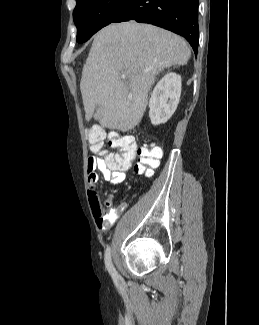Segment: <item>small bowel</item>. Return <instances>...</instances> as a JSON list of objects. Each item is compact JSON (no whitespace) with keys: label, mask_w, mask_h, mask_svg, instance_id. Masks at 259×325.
Returning a JSON list of instances; mask_svg holds the SVG:
<instances>
[{"label":"small bowel","mask_w":259,"mask_h":325,"mask_svg":"<svg viewBox=\"0 0 259 325\" xmlns=\"http://www.w3.org/2000/svg\"><path fill=\"white\" fill-rule=\"evenodd\" d=\"M155 147H158L154 145ZM159 148V147H158ZM119 156L114 153H101L99 157L88 159V194L92 205L93 215L97 226L100 230H107L115 219V212H107L97 197L96 183L98 173L112 185H117L125 180L126 172L131 165L126 168L118 166ZM105 205L111 207L113 205V197L109 196L105 200Z\"/></svg>","instance_id":"small-bowel-1"}]
</instances>
